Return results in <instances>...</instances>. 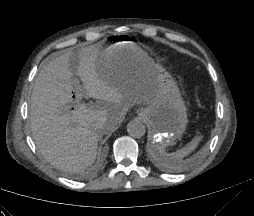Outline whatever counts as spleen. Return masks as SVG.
<instances>
[{
	"instance_id": "1",
	"label": "spleen",
	"mask_w": 254,
	"mask_h": 216,
	"mask_svg": "<svg viewBox=\"0 0 254 216\" xmlns=\"http://www.w3.org/2000/svg\"><path fill=\"white\" fill-rule=\"evenodd\" d=\"M201 140V136H196L191 142H189L185 147L177 150L173 153H167L162 149H156L157 157L161 163L164 165L174 168L177 166L178 162L191 153L198 145Z\"/></svg>"
}]
</instances>
